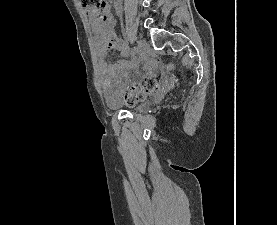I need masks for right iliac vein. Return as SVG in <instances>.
<instances>
[{"label": "right iliac vein", "mask_w": 277, "mask_h": 225, "mask_svg": "<svg viewBox=\"0 0 277 225\" xmlns=\"http://www.w3.org/2000/svg\"><path fill=\"white\" fill-rule=\"evenodd\" d=\"M148 50V44L144 40L138 41V53L140 55V58L143 59L147 53Z\"/></svg>", "instance_id": "1"}]
</instances>
